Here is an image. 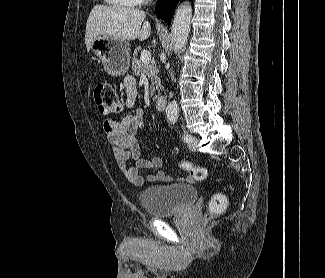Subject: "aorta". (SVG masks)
<instances>
[{
    "mask_svg": "<svg viewBox=\"0 0 325 278\" xmlns=\"http://www.w3.org/2000/svg\"><path fill=\"white\" fill-rule=\"evenodd\" d=\"M192 17V7L188 3L181 4L175 14L171 25V34L175 53H180L187 44ZM166 118L170 122H176L178 118V106L171 102L166 107Z\"/></svg>",
    "mask_w": 325,
    "mask_h": 278,
    "instance_id": "aorta-1",
    "label": "aorta"
}]
</instances>
